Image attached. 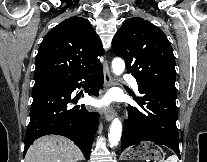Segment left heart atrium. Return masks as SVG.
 I'll use <instances>...</instances> for the list:
<instances>
[{
  "mask_svg": "<svg viewBox=\"0 0 207 162\" xmlns=\"http://www.w3.org/2000/svg\"><path fill=\"white\" fill-rule=\"evenodd\" d=\"M110 103H111V98L110 96L106 95L104 96L103 98L95 101V106H97L98 108H107L110 106Z\"/></svg>",
  "mask_w": 207,
  "mask_h": 162,
  "instance_id": "1",
  "label": "left heart atrium"
}]
</instances>
